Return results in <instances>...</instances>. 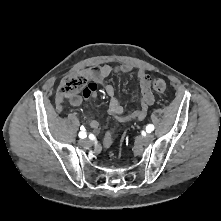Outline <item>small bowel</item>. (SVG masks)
Wrapping results in <instances>:
<instances>
[{"instance_id": "small-bowel-1", "label": "small bowel", "mask_w": 221, "mask_h": 221, "mask_svg": "<svg viewBox=\"0 0 221 221\" xmlns=\"http://www.w3.org/2000/svg\"><path fill=\"white\" fill-rule=\"evenodd\" d=\"M131 70L132 67L128 64H123L116 68H113L110 65H103L100 67H93L83 70L81 74L90 81L87 83L86 87L81 90V96H73L70 98V104L73 107H79L82 104V98L88 100L97 97V94L101 91V85L105 84L106 79L112 73L127 74ZM137 78L140 86L141 106L130 115H124V108L116 97L114 86L111 84H105L104 86L105 92L109 97L108 113L119 122L125 123L132 120H143L147 115L148 107L154 102V96L151 91V77L145 71L140 70L137 74ZM63 99L64 97L58 93L56 96V105L58 111L62 110ZM87 125L94 131H98L100 129V124L96 120L87 118ZM114 138L115 132L113 130H108L104 136V146H110L113 143Z\"/></svg>"}]
</instances>
